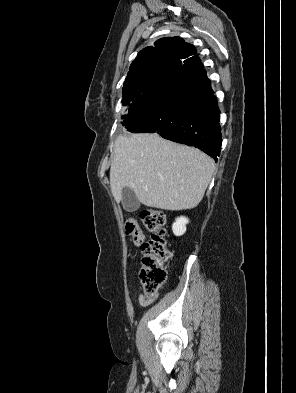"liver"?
Instances as JSON below:
<instances>
[{
    "label": "liver",
    "mask_w": 296,
    "mask_h": 393,
    "mask_svg": "<svg viewBox=\"0 0 296 393\" xmlns=\"http://www.w3.org/2000/svg\"><path fill=\"white\" fill-rule=\"evenodd\" d=\"M214 170L213 159L198 149L156 133H125L115 141L110 187L117 202L128 187L145 206L186 210L200 203Z\"/></svg>",
    "instance_id": "1"
}]
</instances>
